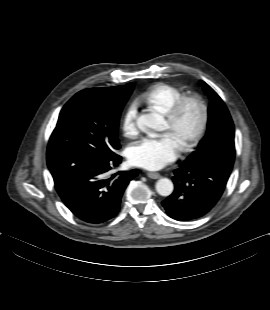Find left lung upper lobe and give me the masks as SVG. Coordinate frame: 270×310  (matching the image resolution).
I'll list each match as a JSON object with an SVG mask.
<instances>
[{"mask_svg": "<svg viewBox=\"0 0 270 310\" xmlns=\"http://www.w3.org/2000/svg\"><path fill=\"white\" fill-rule=\"evenodd\" d=\"M210 98L208 129L196 151L183 164H203L231 172L234 157V125L231 116L216 92L200 81Z\"/></svg>", "mask_w": 270, "mask_h": 310, "instance_id": "1", "label": "left lung upper lobe"}]
</instances>
